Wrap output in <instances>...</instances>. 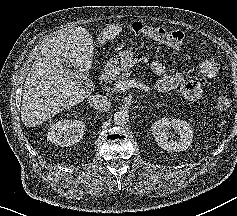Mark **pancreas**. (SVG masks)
Masks as SVG:
<instances>
[{"label": "pancreas", "instance_id": "obj_1", "mask_svg": "<svg viewBox=\"0 0 237 216\" xmlns=\"http://www.w3.org/2000/svg\"><path fill=\"white\" fill-rule=\"evenodd\" d=\"M128 78H130L129 75H122V76H120L118 79L126 80V79H128ZM145 87H148V85L146 84ZM150 93H151V91H150Z\"/></svg>", "mask_w": 237, "mask_h": 216}]
</instances>
